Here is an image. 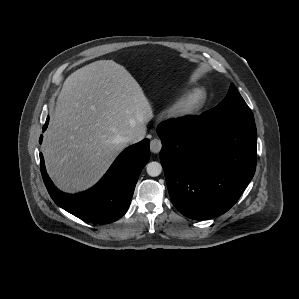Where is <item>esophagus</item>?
<instances>
[{
    "label": "esophagus",
    "mask_w": 299,
    "mask_h": 299,
    "mask_svg": "<svg viewBox=\"0 0 299 299\" xmlns=\"http://www.w3.org/2000/svg\"><path fill=\"white\" fill-rule=\"evenodd\" d=\"M162 148V142L159 139H153L150 143V150L153 153H159Z\"/></svg>",
    "instance_id": "esophagus-1"
}]
</instances>
